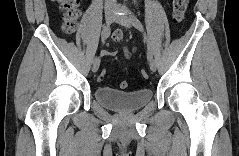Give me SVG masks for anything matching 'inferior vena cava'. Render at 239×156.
Masks as SVG:
<instances>
[{"instance_id":"602c4592","label":"inferior vena cava","mask_w":239,"mask_h":156,"mask_svg":"<svg viewBox=\"0 0 239 156\" xmlns=\"http://www.w3.org/2000/svg\"><path fill=\"white\" fill-rule=\"evenodd\" d=\"M108 2H111V3H115L116 2V0H107Z\"/></svg>"}]
</instances>
